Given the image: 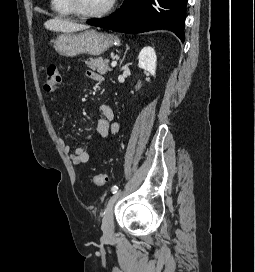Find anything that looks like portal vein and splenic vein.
<instances>
[{
    "mask_svg": "<svg viewBox=\"0 0 255 272\" xmlns=\"http://www.w3.org/2000/svg\"><path fill=\"white\" fill-rule=\"evenodd\" d=\"M117 65V61H112L111 66L115 67Z\"/></svg>",
    "mask_w": 255,
    "mask_h": 272,
    "instance_id": "portal-vein-and-splenic-vein-1",
    "label": "portal vein and splenic vein"
}]
</instances>
